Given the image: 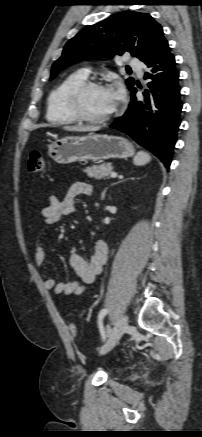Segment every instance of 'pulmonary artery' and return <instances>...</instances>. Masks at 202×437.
Returning a JSON list of instances; mask_svg holds the SVG:
<instances>
[{"instance_id":"obj_1","label":"pulmonary artery","mask_w":202,"mask_h":437,"mask_svg":"<svg viewBox=\"0 0 202 437\" xmlns=\"http://www.w3.org/2000/svg\"><path fill=\"white\" fill-rule=\"evenodd\" d=\"M129 66H131L133 69H135L138 72V74L142 73L141 63L137 59H131L129 61Z\"/></svg>"}]
</instances>
